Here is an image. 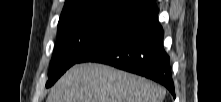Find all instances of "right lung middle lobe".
<instances>
[{"label":"right lung middle lobe","mask_w":221,"mask_h":102,"mask_svg":"<svg viewBox=\"0 0 221 102\" xmlns=\"http://www.w3.org/2000/svg\"><path fill=\"white\" fill-rule=\"evenodd\" d=\"M141 11L118 0H94L61 14L47 87Z\"/></svg>","instance_id":"dd1d6c3e"}]
</instances>
